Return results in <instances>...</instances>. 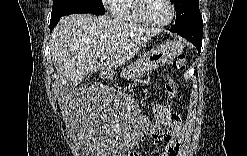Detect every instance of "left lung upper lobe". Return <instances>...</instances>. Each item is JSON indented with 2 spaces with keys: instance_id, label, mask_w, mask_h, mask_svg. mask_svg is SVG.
<instances>
[{
  "instance_id": "obj_1",
  "label": "left lung upper lobe",
  "mask_w": 247,
  "mask_h": 156,
  "mask_svg": "<svg viewBox=\"0 0 247 156\" xmlns=\"http://www.w3.org/2000/svg\"><path fill=\"white\" fill-rule=\"evenodd\" d=\"M176 9L175 26H183L200 18L199 0H173Z\"/></svg>"
}]
</instances>
